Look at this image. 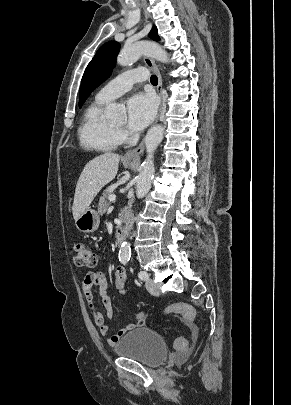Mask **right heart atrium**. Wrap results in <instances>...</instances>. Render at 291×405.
<instances>
[{"label":"right heart atrium","mask_w":291,"mask_h":405,"mask_svg":"<svg viewBox=\"0 0 291 405\" xmlns=\"http://www.w3.org/2000/svg\"><path fill=\"white\" fill-rule=\"evenodd\" d=\"M117 133H118V137H119V139L124 138V136H125L124 131H122V130H118V131H117Z\"/></svg>","instance_id":"d8ad5b80"}]
</instances>
